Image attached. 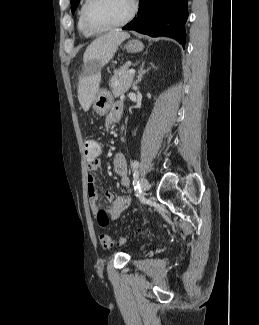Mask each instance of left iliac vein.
I'll list each match as a JSON object with an SVG mask.
<instances>
[{"mask_svg": "<svg viewBox=\"0 0 259 325\" xmlns=\"http://www.w3.org/2000/svg\"><path fill=\"white\" fill-rule=\"evenodd\" d=\"M140 185H141V189H142V191L144 193H146L150 189L149 181L146 178H144V177H142L140 179Z\"/></svg>", "mask_w": 259, "mask_h": 325, "instance_id": "4c4485c4", "label": "left iliac vein"}]
</instances>
